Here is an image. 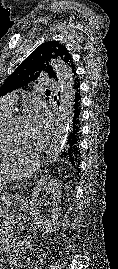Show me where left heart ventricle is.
<instances>
[{"label":"left heart ventricle","mask_w":118,"mask_h":269,"mask_svg":"<svg viewBox=\"0 0 118 269\" xmlns=\"http://www.w3.org/2000/svg\"><path fill=\"white\" fill-rule=\"evenodd\" d=\"M13 131L15 132V134H17L18 136L26 139L27 141H32L33 140V136L31 135L30 131H29V126L27 124V121L25 119V117L21 116L20 118H18L14 124H13Z\"/></svg>","instance_id":"1"}]
</instances>
